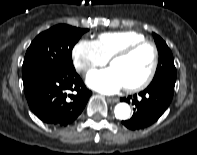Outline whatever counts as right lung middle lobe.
<instances>
[{"label":"right lung middle lobe","instance_id":"dd1d6c3e","mask_svg":"<svg viewBox=\"0 0 197 155\" xmlns=\"http://www.w3.org/2000/svg\"><path fill=\"white\" fill-rule=\"evenodd\" d=\"M69 25H56L40 33L27 49L22 78L24 88L40 78L63 71L75 70L72 62V49L83 33Z\"/></svg>","mask_w":197,"mask_h":155}]
</instances>
